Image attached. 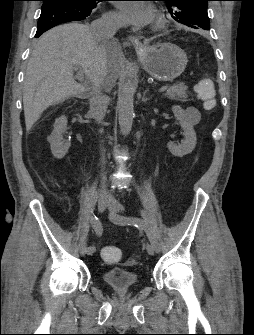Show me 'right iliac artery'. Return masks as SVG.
I'll return each instance as SVG.
<instances>
[{
	"mask_svg": "<svg viewBox=\"0 0 254 335\" xmlns=\"http://www.w3.org/2000/svg\"><path fill=\"white\" fill-rule=\"evenodd\" d=\"M90 223H91V226L92 228L94 229L95 233L98 235V236H101L102 235V232H103V228H102V224L101 222L99 221V219L93 215L91 216L90 218ZM96 249L94 246H89L87 248V254L88 255H93L95 253Z\"/></svg>",
	"mask_w": 254,
	"mask_h": 335,
	"instance_id": "obj_1",
	"label": "right iliac artery"
}]
</instances>
